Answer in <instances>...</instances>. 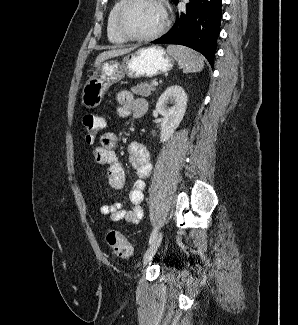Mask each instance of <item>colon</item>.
Masks as SVG:
<instances>
[{
    "label": "colon",
    "instance_id": "colon-1",
    "mask_svg": "<svg viewBox=\"0 0 298 325\" xmlns=\"http://www.w3.org/2000/svg\"><path fill=\"white\" fill-rule=\"evenodd\" d=\"M85 128V139L88 144H93L98 133L104 127V119L96 114L88 113L83 117ZM106 241L113 253L121 258H129L133 255V248L130 242L116 230L108 231Z\"/></svg>",
    "mask_w": 298,
    "mask_h": 325
}]
</instances>
